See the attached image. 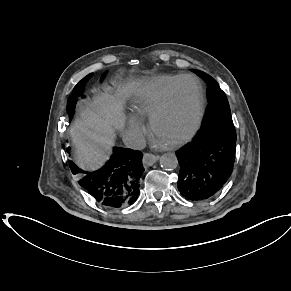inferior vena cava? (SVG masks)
<instances>
[{
	"label": "inferior vena cava",
	"instance_id": "602c4592",
	"mask_svg": "<svg viewBox=\"0 0 291 291\" xmlns=\"http://www.w3.org/2000/svg\"><path fill=\"white\" fill-rule=\"evenodd\" d=\"M123 142L126 147L142 150L146 146L145 138L141 133H129L123 135Z\"/></svg>",
	"mask_w": 291,
	"mask_h": 291
}]
</instances>
